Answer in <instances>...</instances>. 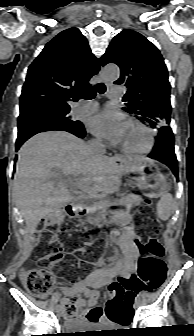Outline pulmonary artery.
Masks as SVG:
<instances>
[{
	"instance_id": "1",
	"label": "pulmonary artery",
	"mask_w": 194,
	"mask_h": 336,
	"mask_svg": "<svg viewBox=\"0 0 194 336\" xmlns=\"http://www.w3.org/2000/svg\"><path fill=\"white\" fill-rule=\"evenodd\" d=\"M122 96V88L121 87H111L108 93V97L110 99L119 98ZM98 108V104L96 102H88L84 105L77 107L74 112L77 115H88L95 112Z\"/></svg>"
}]
</instances>
